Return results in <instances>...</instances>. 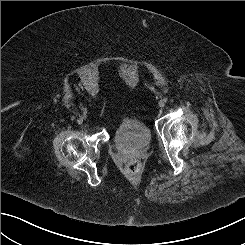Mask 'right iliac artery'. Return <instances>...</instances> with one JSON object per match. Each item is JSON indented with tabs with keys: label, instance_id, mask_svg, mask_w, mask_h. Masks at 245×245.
<instances>
[{
	"label": "right iliac artery",
	"instance_id": "82829eb1",
	"mask_svg": "<svg viewBox=\"0 0 245 245\" xmlns=\"http://www.w3.org/2000/svg\"><path fill=\"white\" fill-rule=\"evenodd\" d=\"M71 120L74 121L75 120V116H71Z\"/></svg>",
	"mask_w": 245,
	"mask_h": 245
}]
</instances>
